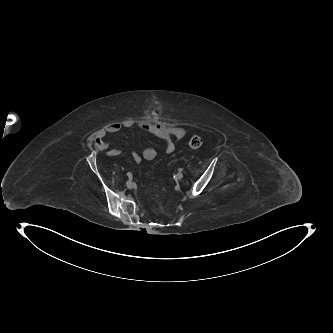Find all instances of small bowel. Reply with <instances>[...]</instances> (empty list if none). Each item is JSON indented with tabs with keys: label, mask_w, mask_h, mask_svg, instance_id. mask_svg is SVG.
Returning <instances> with one entry per match:
<instances>
[{
	"label": "small bowel",
	"mask_w": 333,
	"mask_h": 333,
	"mask_svg": "<svg viewBox=\"0 0 333 333\" xmlns=\"http://www.w3.org/2000/svg\"><path fill=\"white\" fill-rule=\"evenodd\" d=\"M134 127H138L141 130L162 139L167 153H172L175 150L173 138L181 140L186 134L183 128L171 124L151 123L145 121L134 122L126 120L123 122L111 123L104 129L99 130L94 138V147L97 150H107L106 154L108 157H116L120 154V150L112 147L108 142H106V136L115 134L122 129H132ZM156 155L157 152L153 147H145L141 153L137 151L132 152V158L137 164L141 163L142 160L151 161L156 157Z\"/></svg>",
	"instance_id": "small-bowel-1"
}]
</instances>
